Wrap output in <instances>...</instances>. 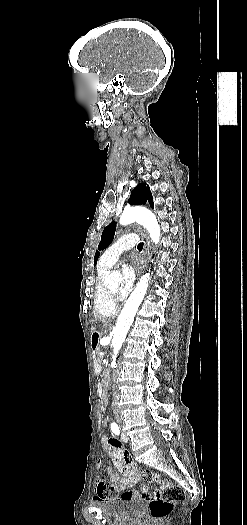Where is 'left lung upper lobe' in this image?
Returning a JSON list of instances; mask_svg holds the SVG:
<instances>
[{
    "label": "left lung upper lobe",
    "mask_w": 247,
    "mask_h": 525,
    "mask_svg": "<svg viewBox=\"0 0 247 525\" xmlns=\"http://www.w3.org/2000/svg\"><path fill=\"white\" fill-rule=\"evenodd\" d=\"M128 202L131 205L146 204V202H149L150 206L154 208L153 197L150 192L149 186H147L146 183H140L135 187V189L132 191L131 197ZM115 230L116 222L114 221L104 228L101 236V241L98 245L99 250H103L110 245V243L113 241ZM99 255L100 252L96 251L94 257V264H96Z\"/></svg>",
    "instance_id": "obj_1"
}]
</instances>
